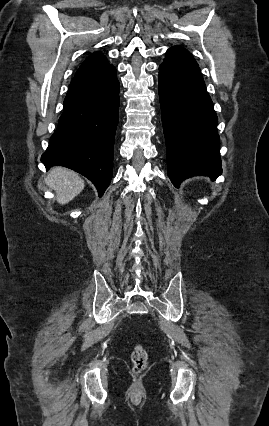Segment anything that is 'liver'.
Returning <instances> with one entry per match:
<instances>
[{
	"label": "liver",
	"mask_w": 269,
	"mask_h": 426,
	"mask_svg": "<svg viewBox=\"0 0 269 426\" xmlns=\"http://www.w3.org/2000/svg\"><path fill=\"white\" fill-rule=\"evenodd\" d=\"M45 183L55 191L56 200L62 205L69 203L84 189V181L80 176L63 167L51 169Z\"/></svg>",
	"instance_id": "liver-1"
}]
</instances>
